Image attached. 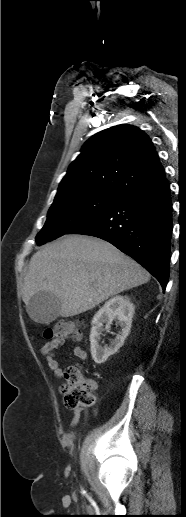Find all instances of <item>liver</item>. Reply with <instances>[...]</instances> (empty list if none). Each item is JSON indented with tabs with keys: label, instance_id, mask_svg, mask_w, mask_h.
Listing matches in <instances>:
<instances>
[{
	"label": "liver",
	"instance_id": "liver-1",
	"mask_svg": "<svg viewBox=\"0 0 186 517\" xmlns=\"http://www.w3.org/2000/svg\"><path fill=\"white\" fill-rule=\"evenodd\" d=\"M150 280V274L112 244L94 237L68 235L37 251L24 277L26 306L39 292L55 295L59 315L71 317L122 291Z\"/></svg>",
	"mask_w": 186,
	"mask_h": 517
}]
</instances>
